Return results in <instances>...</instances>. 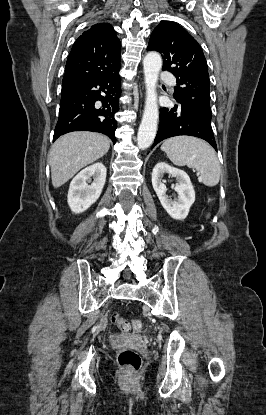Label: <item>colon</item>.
I'll return each instance as SVG.
<instances>
[{
	"mask_svg": "<svg viewBox=\"0 0 266 415\" xmlns=\"http://www.w3.org/2000/svg\"><path fill=\"white\" fill-rule=\"evenodd\" d=\"M111 320L121 331L125 333H136L142 326L140 320H127L118 313L112 314ZM117 359L120 367L129 374H135L141 368V357L139 353L133 349L122 348L118 352Z\"/></svg>",
	"mask_w": 266,
	"mask_h": 415,
	"instance_id": "obj_1",
	"label": "colon"
}]
</instances>
